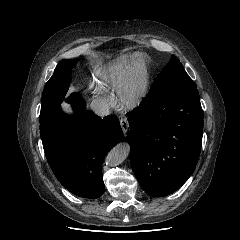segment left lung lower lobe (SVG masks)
Returning <instances> with one entry per match:
<instances>
[{
  "mask_svg": "<svg viewBox=\"0 0 240 240\" xmlns=\"http://www.w3.org/2000/svg\"><path fill=\"white\" fill-rule=\"evenodd\" d=\"M127 116L130 161L141 188L154 197L173 193L194 172L202 147L197 88L169 87L148 94Z\"/></svg>",
  "mask_w": 240,
  "mask_h": 240,
  "instance_id": "1",
  "label": "left lung lower lobe"
}]
</instances>
